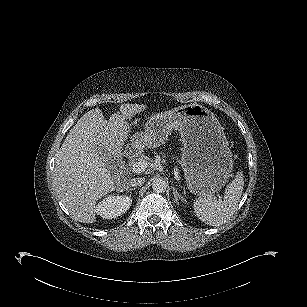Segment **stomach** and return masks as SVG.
<instances>
[{
    "mask_svg": "<svg viewBox=\"0 0 307 307\" xmlns=\"http://www.w3.org/2000/svg\"><path fill=\"white\" fill-rule=\"evenodd\" d=\"M172 129L182 137L181 166L191 192L202 195L219 191L230 176L233 161L215 115L197 103L155 113L145 123V132L134 141L159 146Z\"/></svg>",
    "mask_w": 307,
    "mask_h": 307,
    "instance_id": "stomach-1",
    "label": "stomach"
}]
</instances>
